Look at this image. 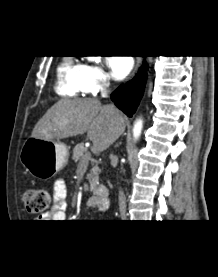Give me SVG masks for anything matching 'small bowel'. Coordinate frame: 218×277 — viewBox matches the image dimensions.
I'll return each mask as SVG.
<instances>
[{"instance_id":"obj_1","label":"small bowel","mask_w":218,"mask_h":277,"mask_svg":"<svg viewBox=\"0 0 218 277\" xmlns=\"http://www.w3.org/2000/svg\"><path fill=\"white\" fill-rule=\"evenodd\" d=\"M88 206L93 208L92 199L88 201ZM67 203V187L63 179L56 180L53 188L52 208L48 213L41 216V220H55V222H63L66 219Z\"/></svg>"}]
</instances>
